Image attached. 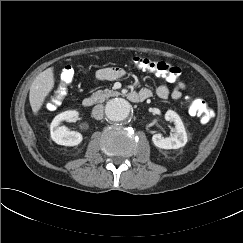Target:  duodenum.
<instances>
[{"label":"duodenum","instance_id":"duodenum-1","mask_svg":"<svg viewBox=\"0 0 243 243\" xmlns=\"http://www.w3.org/2000/svg\"><path fill=\"white\" fill-rule=\"evenodd\" d=\"M128 99L132 102H140V101L147 99V96L143 95V94H139L137 92H131V93L128 94ZM95 102L96 101L93 97H85L82 100V105L85 108H90L95 104Z\"/></svg>","mask_w":243,"mask_h":243}]
</instances>
